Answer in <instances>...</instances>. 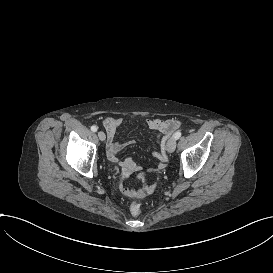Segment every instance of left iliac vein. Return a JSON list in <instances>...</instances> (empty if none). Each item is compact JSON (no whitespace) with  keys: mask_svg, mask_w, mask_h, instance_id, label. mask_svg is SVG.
<instances>
[{"mask_svg":"<svg viewBox=\"0 0 273 273\" xmlns=\"http://www.w3.org/2000/svg\"><path fill=\"white\" fill-rule=\"evenodd\" d=\"M175 148H176V139L175 138L169 139V141L167 142V151L169 153H172L174 152Z\"/></svg>","mask_w":273,"mask_h":273,"instance_id":"obj_1","label":"left iliac vein"}]
</instances>
